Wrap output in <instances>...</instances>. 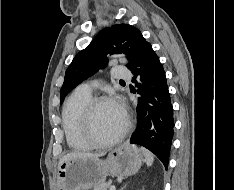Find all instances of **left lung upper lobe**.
Listing matches in <instances>:
<instances>
[{
  "label": "left lung upper lobe",
  "mask_w": 234,
  "mask_h": 190,
  "mask_svg": "<svg viewBox=\"0 0 234 190\" xmlns=\"http://www.w3.org/2000/svg\"><path fill=\"white\" fill-rule=\"evenodd\" d=\"M145 42L147 41L141 32L128 24L113 25L101 30L67 68L60 92L61 102L74 87L106 66L108 54H127V67L130 68Z\"/></svg>",
  "instance_id": "obj_1"
}]
</instances>
